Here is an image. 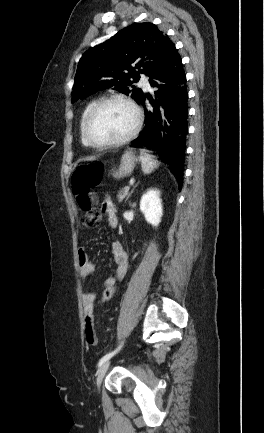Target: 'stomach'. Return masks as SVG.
Masks as SVG:
<instances>
[{"instance_id":"stomach-1","label":"stomach","mask_w":264,"mask_h":433,"mask_svg":"<svg viewBox=\"0 0 264 433\" xmlns=\"http://www.w3.org/2000/svg\"><path fill=\"white\" fill-rule=\"evenodd\" d=\"M136 162L137 157L135 156L134 152L130 150L125 151L122 155L118 169L113 170L112 176L116 179H120L130 175L135 167Z\"/></svg>"}]
</instances>
